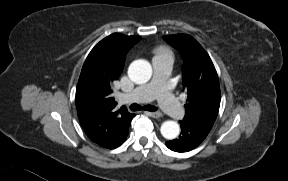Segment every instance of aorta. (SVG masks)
I'll use <instances>...</instances> for the list:
<instances>
[{"label": "aorta", "instance_id": "aorta-1", "mask_svg": "<svg viewBox=\"0 0 288 181\" xmlns=\"http://www.w3.org/2000/svg\"><path fill=\"white\" fill-rule=\"evenodd\" d=\"M128 76L134 83L144 84L148 82L152 76V67L146 60H135L128 68ZM160 131L164 138L172 140L179 135L180 127L177 122L167 120L162 123Z\"/></svg>", "mask_w": 288, "mask_h": 181}]
</instances>
